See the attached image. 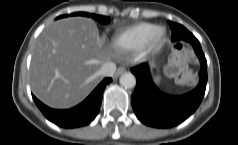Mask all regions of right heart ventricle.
<instances>
[{"instance_id": "obj_1", "label": "right heart ventricle", "mask_w": 238, "mask_h": 145, "mask_svg": "<svg viewBox=\"0 0 238 145\" xmlns=\"http://www.w3.org/2000/svg\"><path fill=\"white\" fill-rule=\"evenodd\" d=\"M156 28L151 23H138L117 31L112 36V46L118 53H129L140 50Z\"/></svg>"}]
</instances>
